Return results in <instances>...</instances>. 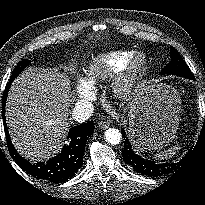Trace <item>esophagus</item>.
I'll return each mask as SVG.
<instances>
[{
    "label": "esophagus",
    "instance_id": "obj_1",
    "mask_svg": "<svg viewBox=\"0 0 205 205\" xmlns=\"http://www.w3.org/2000/svg\"><path fill=\"white\" fill-rule=\"evenodd\" d=\"M110 126V123L109 121H100L99 122V128L101 129H106Z\"/></svg>",
    "mask_w": 205,
    "mask_h": 205
}]
</instances>
